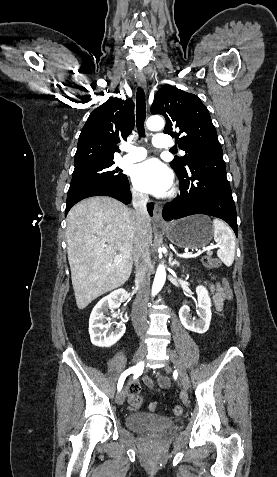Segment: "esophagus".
I'll list each match as a JSON object with an SVG mask.
<instances>
[{"label": "esophagus", "mask_w": 277, "mask_h": 477, "mask_svg": "<svg viewBox=\"0 0 277 477\" xmlns=\"http://www.w3.org/2000/svg\"><path fill=\"white\" fill-rule=\"evenodd\" d=\"M136 81H137V84L141 88L146 89V87H147L146 78H145L143 73L138 72L136 74ZM161 211H162V208H161L160 204L156 203L155 206H154V211H153V221L156 224H163L164 223Z\"/></svg>", "instance_id": "esophagus-1"}]
</instances>
